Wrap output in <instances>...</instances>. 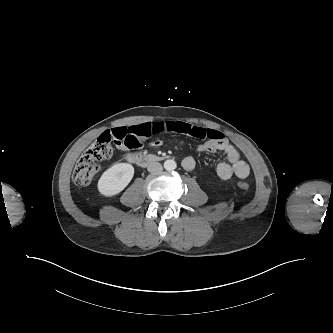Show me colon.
<instances>
[{
  "mask_svg": "<svg viewBox=\"0 0 333 333\" xmlns=\"http://www.w3.org/2000/svg\"><path fill=\"white\" fill-rule=\"evenodd\" d=\"M112 155L113 150L110 141L98 138L80 156L73 171L74 183L79 186L88 185L98 173L100 163L109 160ZM238 185L244 190L249 188L248 184L244 181H240Z\"/></svg>",
  "mask_w": 333,
  "mask_h": 333,
  "instance_id": "obj_1",
  "label": "colon"
}]
</instances>
